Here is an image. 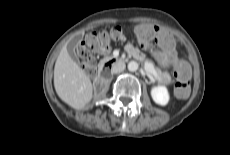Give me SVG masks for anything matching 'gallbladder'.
Returning a JSON list of instances; mask_svg holds the SVG:
<instances>
[{
    "label": "gallbladder",
    "instance_id": "obj_1",
    "mask_svg": "<svg viewBox=\"0 0 230 155\" xmlns=\"http://www.w3.org/2000/svg\"><path fill=\"white\" fill-rule=\"evenodd\" d=\"M81 37L74 38L68 45L67 51L70 57H72L74 60H77V56L75 54V48L78 45Z\"/></svg>",
    "mask_w": 230,
    "mask_h": 155
}]
</instances>
